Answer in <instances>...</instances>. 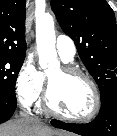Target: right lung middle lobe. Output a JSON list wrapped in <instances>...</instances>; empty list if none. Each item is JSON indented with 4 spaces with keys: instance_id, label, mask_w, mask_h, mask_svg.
<instances>
[{
    "instance_id": "1",
    "label": "right lung middle lobe",
    "mask_w": 117,
    "mask_h": 136,
    "mask_svg": "<svg viewBox=\"0 0 117 136\" xmlns=\"http://www.w3.org/2000/svg\"><path fill=\"white\" fill-rule=\"evenodd\" d=\"M25 57L0 55V92L15 95V84Z\"/></svg>"
}]
</instances>
